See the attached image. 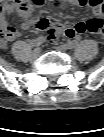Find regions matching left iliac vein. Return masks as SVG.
Masks as SVG:
<instances>
[{
  "label": "left iliac vein",
  "mask_w": 104,
  "mask_h": 137,
  "mask_svg": "<svg viewBox=\"0 0 104 137\" xmlns=\"http://www.w3.org/2000/svg\"><path fill=\"white\" fill-rule=\"evenodd\" d=\"M55 49L58 51H61V52H65L68 49H70V47H69V45L62 44V45L56 46Z\"/></svg>",
  "instance_id": "left-iliac-vein-1"
}]
</instances>
